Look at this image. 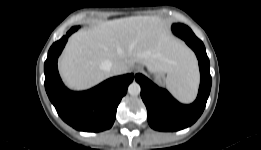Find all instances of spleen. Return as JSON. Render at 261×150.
Segmentation results:
<instances>
[{
  "mask_svg": "<svg viewBox=\"0 0 261 150\" xmlns=\"http://www.w3.org/2000/svg\"><path fill=\"white\" fill-rule=\"evenodd\" d=\"M166 82L169 90L179 100L191 102L196 96L198 86V73L195 64L187 67L179 76L169 75Z\"/></svg>",
  "mask_w": 261,
  "mask_h": 150,
  "instance_id": "spleen-1",
  "label": "spleen"
}]
</instances>
